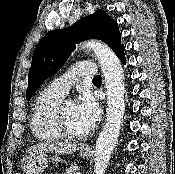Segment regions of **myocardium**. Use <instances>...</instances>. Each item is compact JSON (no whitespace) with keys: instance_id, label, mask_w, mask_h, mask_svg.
Here are the masks:
<instances>
[{"instance_id":"myocardium-1","label":"myocardium","mask_w":175,"mask_h":174,"mask_svg":"<svg viewBox=\"0 0 175 174\" xmlns=\"http://www.w3.org/2000/svg\"><path fill=\"white\" fill-rule=\"evenodd\" d=\"M69 101H62L59 106L56 109L55 113V124L56 127L61 134V136L65 139H70V140H77V139H82L88 136L91 132L90 129H88L85 132L82 133H74L69 130L66 124L65 120V106Z\"/></svg>"}]
</instances>
